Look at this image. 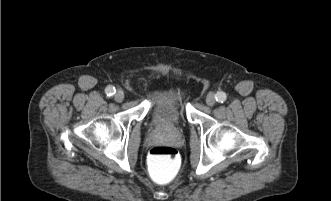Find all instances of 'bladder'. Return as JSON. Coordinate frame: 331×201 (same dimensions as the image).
I'll return each mask as SVG.
<instances>
[{
	"label": "bladder",
	"mask_w": 331,
	"mask_h": 201,
	"mask_svg": "<svg viewBox=\"0 0 331 201\" xmlns=\"http://www.w3.org/2000/svg\"><path fill=\"white\" fill-rule=\"evenodd\" d=\"M188 93L179 85L160 86L148 101V121L153 126L182 123L187 114Z\"/></svg>",
	"instance_id": "31cf9c89"
}]
</instances>
